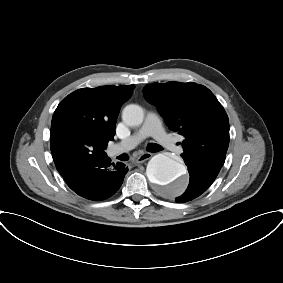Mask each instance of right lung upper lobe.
<instances>
[{
    "label": "right lung upper lobe",
    "mask_w": 283,
    "mask_h": 283,
    "mask_svg": "<svg viewBox=\"0 0 283 283\" xmlns=\"http://www.w3.org/2000/svg\"><path fill=\"white\" fill-rule=\"evenodd\" d=\"M134 85L82 88L65 97L56 108L51 124V152L58 172L106 155L105 146L115 135L120 108L132 95ZM91 143L93 158L78 159V147Z\"/></svg>",
    "instance_id": "1"
}]
</instances>
